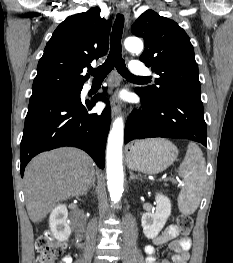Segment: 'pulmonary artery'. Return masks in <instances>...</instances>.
<instances>
[{"instance_id": "obj_1", "label": "pulmonary artery", "mask_w": 233, "mask_h": 263, "mask_svg": "<svg viewBox=\"0 0 233 263\" xmlns=\"http://www.w3.org/2000/svg\"><path fill=\"white\" fill-rule=\"evenodd\" d=\"M129 69L132 75H150L149 69L138 60L131 61Z\"/></svg>"}]
</instances>
